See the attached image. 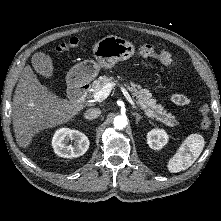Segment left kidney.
Masks as SVG:
<instances>
[{"label": "left kidney", "instance_id": "left-kidney-1", "mask_svg": "<svg viewBox=\"0 0 221 221\" xmlns=\"http://www.w3.org/2000/svg\"><path fill=\"white\" fill-rule=\"evenodd\" d=\"M168 142V135L164 129H153L147 133V143L151 149L160 150Z\"/></svg>", "mask_w": 221, "mask_h": 221}]
</instances>
